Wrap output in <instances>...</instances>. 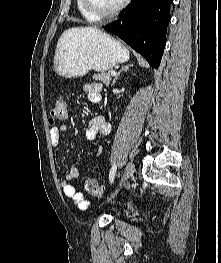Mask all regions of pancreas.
Returning a JSON list of instances; mask_svg holds the SVG:
<instances>
[{"instance_id": "cf45deb5", "label": "pancreas", "mask_w": 221, "mask_h": 263, "mask_svg": "<svg viewBox=\"0 0 221 263\" xmlns=\"http://www.w3.org/2000/svg\"><path fill=\"white\" fill-rule=\"evenodd\" d=\"M111 72H112V70H108L106 72L94 74L92 76V78L95 79L96 81H101L106 86H109L110 81H111V77H112Z\"/></svg>"}]
</instances>
